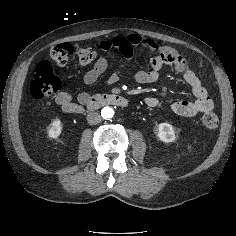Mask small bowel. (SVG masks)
Returning a JSON list of instances; mask_svg holds the SVG:
<instances>
[{
  "mask_svg": "<svg viewBox=\"0 0 236 236\" xmlns=\"http://www.w3.org/2000/svg\"><path fill=\"white\" fill-rule=\"evenodd\" d=\"M135 47H141L148 52H152L155 56L150 60V68L148 70H140L135 74V79L140 84L154 83L159 78V71L164 65L172 67L177 73L183 76L184 81L190 87L194 96L193 100H178L172 103L171 108L174 113L183 117H193L200 113L210 112L214 103L209 97L206 88L202 85L198 76L189 68L184 57H182L175 49L168 46H159L154 40L143 38L137 34L127 36H117L109 41H102L100 49L104 52L116 49L127 60L133 57ZM108 60L105 56H100L95 62L93 68L84 75V83L91 85L106 71ZM119 80V74L113 73L107 79V84H115ZM87 93H80L77 101H74L73 95L68 90H63L55 97L56 103L61 107L62 111L68 114H79L82 112V106ZM145 103L149 107H157L160 100L156 97L149 96L145 98Z\"/></svg>",
  "mask_w": 236,
  "mask_h": 236,
  "instance_id": "small-bowel-1",
  "label": "small bowel"
}]
</instances>
